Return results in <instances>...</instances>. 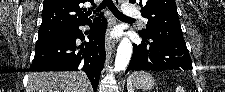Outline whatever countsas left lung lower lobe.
I'll use <instances>...</instances> for the list:
<instances>
[{
  "mask_svg": "<svg viewBox=\"0 0 225 92\" xmlns=\"http://www.w3.org/2000/svg\"><path fill=\"white\" fill-rule=\"evenodd\" d=\"M133 45L129 70H192V61L184 40L166 36H143Z\"/></svg>",
  "mask_w": 225,
  "mask_h": 92,
  "instance_id": "1",
  "label": "left lung lower lobe"
}]
</instances>
